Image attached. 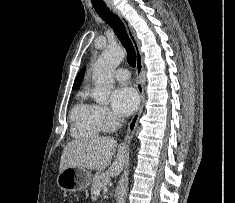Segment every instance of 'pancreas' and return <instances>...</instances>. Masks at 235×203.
Wrapping results in <instances>:
<instances>
[{"label": "pancreas", "mask_w": 235, "mask_h": 203, "mask_svg": "<svg viewBox=\"0 0 235 203\" xmlns=\"http://www.w3.org/2000/svg\"><path fill=\"white\" fill-rule=\"evenodd\" d=\"M109 176L106 173L98 172L93 177L92 187H91V194L95 195L97 190H101L109 183Z\"/></svg>", "instance_id": "pancreas-1"}]
</instances>
